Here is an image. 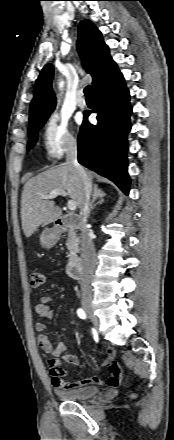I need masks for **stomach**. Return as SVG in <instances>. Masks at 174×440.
<instances>
[{"instance_id": "obj_1", "label": "stomach", "mask_w": 174, "mask_h": 440, "mask_svg": "<svg viewBox=\"0 0 174 440\" xmlns=\"http://www.w3.org/2000/svg\"><path fill=\"white\" fill-rule=\"evenodd\" d=\"M60 239V233L55 228H46L40 235V243L45 248L53 247Z\"/></svg>"}]
</instances>
